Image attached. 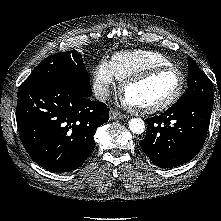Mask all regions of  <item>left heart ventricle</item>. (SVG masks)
Wrapping results in <instances>:
<instances>
[{
    "label": "left heart ventricle",
    "instance_id": "obj_1",
    "mask_svg": "<svg viewBox=\"0 0 221 221\" xmlns=\"http://www.w3.org/2000/svg\"><path fill=\"white\" fill-rule=\"evenodd\" d=\"M179 84L178 72L164 71L128 87L124 98L134 106H153L170 98L178 89Z\"/></svg>",
    "mask_w": 221,
    "mask_h": 221
}]
</instances>
